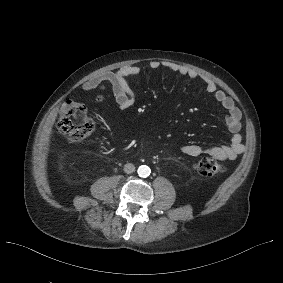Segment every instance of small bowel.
Wrapping results in <instances>:
<instances>
[{
  "label": "small bowel",
  "instance_id": "c3829d8e",
  "mask_svg": "<svg viewBox=\"0 0 283 283\" xmlns=\"http://www.w3.org/2000/svg\"><path fill=\"white\" fill-rule=\"evenodd\" d=\"M149 67L152 70L164 67L173 73L190 79L200 78L205 84L206 92L211 94L217 105L227 112L225 123L231 133L230 144L217 146L188 144L180 147L181 153L192 157L208 154L218 160H234L244 152L245 146L241 135V111L230 96L217 88L211 78L199 75L193 69L170 61L159 62L154 60L149 63ZM140 70L136 65H126L115 72H107L90 79L84 84L83 88L85 91H90L97 88L101 83L108 82L112 87L119 108L127 110L134 105L136 99V95L128 83V78L138 75Z\"/></svg>",
  "mask_w": 283,
  "mask_h": 283
}]
</instances>
